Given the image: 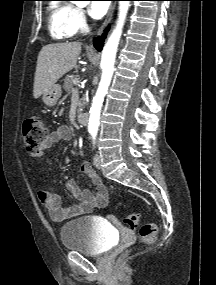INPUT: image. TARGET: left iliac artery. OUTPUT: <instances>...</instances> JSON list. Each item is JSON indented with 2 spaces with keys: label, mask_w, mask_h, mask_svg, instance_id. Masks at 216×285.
I'll use <instances>...</instances> for the list:
<instances>
[{
  "label": "left iliac artery",
  "mask_w": 216,
  "mask_h": 285,
  "mask_svg": "<svg viewBox=\"0 0 216 285\" xmlns=\"http://www.w3.org/2000/svg\"><path fill=\"white\" fill-rule=\"evenodd\" d=\"M95 136H96V135H95V134H93V140H94V143H95Z\"/></svg>",
  "instance_id": "44dca946"
}]
</instances>
